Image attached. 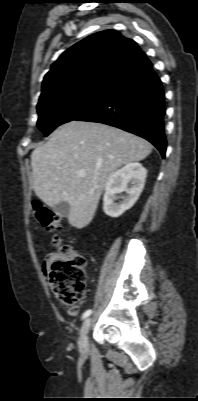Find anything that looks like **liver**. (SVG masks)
Segmentation results:
<instances>
[{
  "mask_svg": "<svg viewBox=\"0 0 198 401\" xmlns=\"http://www.w3.org/2000/svg\"><path fill=\"white\" fill-rule=\"evenodd\" d=\"M152 145L109 125L70 121L31 154L32 187L48 206L69 204L68 222L83 228L94 217L110 176L121 166L145 159ZM84 171L80 177L77 173Z\"/></svg>",
  "mask_w": 198,
  "mask_h": 401,
  "instance_id": "1",
  "label": "liver"
}]
</instances>
